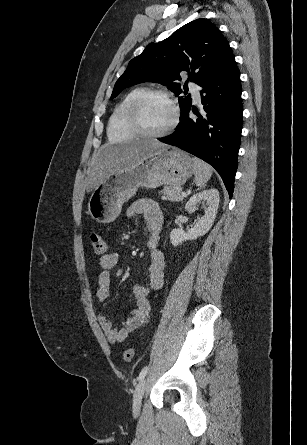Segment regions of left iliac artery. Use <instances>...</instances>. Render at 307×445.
<instances>
[{
    "mask_svg": "<svg viewBox=\"0 0 307 445\" xmlns=\"http://www.w3.org/2000/svg\"><path fill=\"white\" fill-rule=\"evenodd\" d=\"M147 371H148V366H145L142 370H141V372H140V374H139V376H138V380L139 381H141L142 379H144V377L146 376V374H147Z\"/></svg>",
    "mask_w": 307,
    "mask_h": 445,
    "instance_id": "left-iliac-artery-1",
    "label": "left iliac artery"
}]
</instances>
